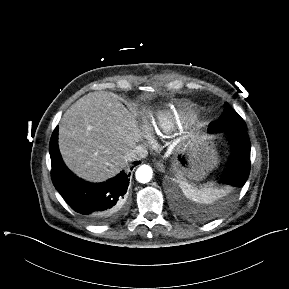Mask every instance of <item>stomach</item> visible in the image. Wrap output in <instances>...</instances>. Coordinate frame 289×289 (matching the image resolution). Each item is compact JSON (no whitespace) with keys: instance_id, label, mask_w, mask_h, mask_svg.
<instances>
[{"instance_id":"0dacf381","label":"stomach","mask_w":289,"mask_h":289,"mask_svg":"<svg viewBox=\"0 0 289 289\" xmlns=\"http://www.w3.org/2000/svg\"><path fill=\"white\" fill-rule=\"evenodd\" d=\"M193 145V144H192ZM190 161L196 170L204 173L205 170L214 168L218 163L217 152L205 136L198 137L190 155Z\"/></svg>"}]
</instances>
